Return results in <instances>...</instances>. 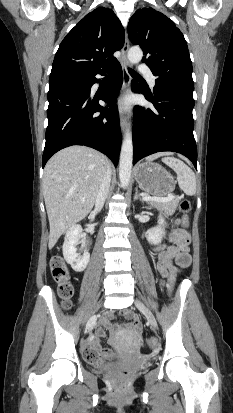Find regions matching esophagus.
Segmentation results:
<instances>
[{
    "label": "esophagus",
    "instance_id": "1",
    "mask_svg": "<svg viewBox=\"0 0 233 413\" xmlns=\"http://www.w3.org/2000/svg\"><path fill=\"white\" fill-rule=\"evenodd\" d=\"M129 39L127 33L125 34V42L124 46L122 49V57L120 59V64L122 67V74H123V85H122V91L124 92L130 85L131 81V76L128 72V60H127V54L129 50ZM120 126L123 132L126 131L127 126H128V119L126 116V113L123 108H120Z\"/></svg>",
    "mask_w": 233,
    "mask_h": 413
}]
</instances>
